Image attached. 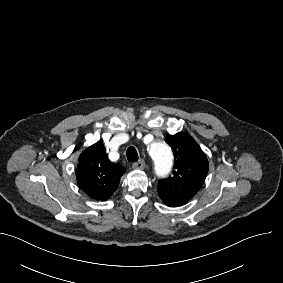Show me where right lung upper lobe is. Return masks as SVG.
<instances>
[{
	"label": "right lung upper lobe",
	"instance_id": "right-lung-upper-lobe-1",
	"mask_svg": "<svg viewBox=\"0 0 283 283\" xmlns=\"http://www.w3.org/2000/svg\"><path fill=\"white\" fill-rule=\"evenodd\" d=\"M126 169L111 163L102 141L85 149L79 157L76 177L79 187L96 200H107L117 189Z\"/></svg>",
	"mask_w": 283,
	"mask_h": 283
}]
</instances>
